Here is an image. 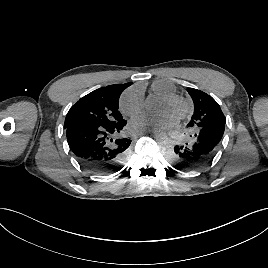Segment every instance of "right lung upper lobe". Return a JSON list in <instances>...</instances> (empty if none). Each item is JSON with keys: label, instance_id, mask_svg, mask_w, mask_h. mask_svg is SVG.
<instances>
[{"label": "right lung upper lobe", "instance_id": "right-lung-upper-lobe-1", "mask_svg": "<svg viewBox=\"0 0 268 268\" xmlns=\"http://www.w3.org/2000/svg\"><path fill=\"white\" fill-rule=\"evenodd\" d=\"M132 84V82L126 83V84H115V85H109L106 88L110 89V90H115V91H119V92H123V90L125 88H127L128 86H130Z\"/></svg>", "mask_w": 268, "mask_h": 268}]
</instances>
